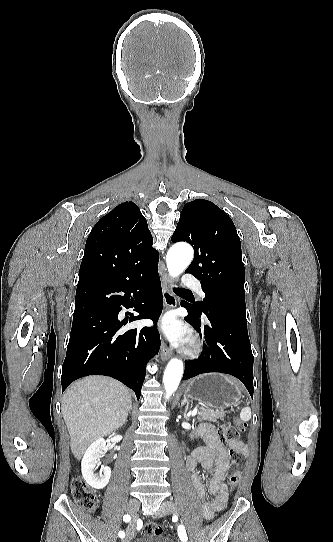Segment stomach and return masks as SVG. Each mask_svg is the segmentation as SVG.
I'll return each instance as SVG.
<instances>
[{
	"mask_svg": "<svg viewBox=\"0 0 333 542\" xmlns=\"http://www.w3.org/2000/svg\"><path fill=\"white\" fill-rule=\"evenodd\" d=\"M185 396L217 410L236 406L241 398L238 380L222 374H202L185 384Z\"/></svg>",
	"mask_w": 333,
	"mask_h": 542,
	"instance_id": "1",
	"label": "stomach"
}]
</instances>
